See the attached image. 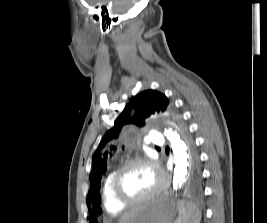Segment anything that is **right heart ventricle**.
Returning <instances> with one entry per match:
<instances>
[{
  "mask_svg": "<svg viewBox=\"0 0 267 223\" xmlns=\"http://www.w3.org/2000/svg\"><path fill=\"white\" fill-rule=\"evenodd\" d=\"M116 171L117 169L114 168L108 172L102 187L103 206L110 214H119L125 210V206L116 201L111 191V181Z\"/></svg>",
  "mask_w": 267,
  "mask_h": 223,
  "instance_id": "right-heart-ventricle-1",
  "label": "right heart ventricle"
}]
</instances>
